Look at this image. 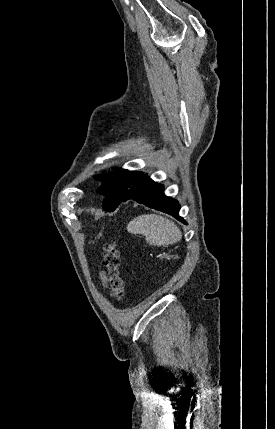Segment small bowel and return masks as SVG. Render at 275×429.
I'll use <instances>...</instances> for the list:
<instances>
[{"instance_id":"obj_1","label":"small bowel","mask_w":275,"mask_h":429,"mask_svg":"<svg viewBox=\"0 0 275 429\" xmlns=\"http://www.w3.org/2000/svg\"><path fill=\"white\" fill-rule=\"evenodd\" d=\"M101 278H102V280H105V279H106V276H105V274H104V273H102V274H101Z\"/></svg>"}]
</instances>
